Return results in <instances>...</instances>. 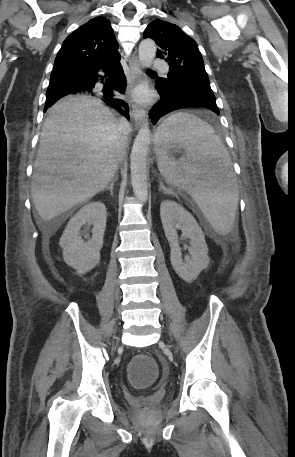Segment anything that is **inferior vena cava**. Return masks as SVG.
<instances>
[{"label":"inferior vena cava","instance_id":"inferior-vena-cava-1","mask_svg":"<svg viewBox=\"0 0 295 457\" xmlns=\"http://www.w3.org/2000/svg\"><path fill=\"white\" fill-rule=\"evenodd\" d=\"M122 127H123V134H124V138H125V135L130 131V125L127 121H122ZM122 158V156H121ZM120 158V159H121Z\"/></svg>","mask_w":295,"mask_h":457}]
</instances>
